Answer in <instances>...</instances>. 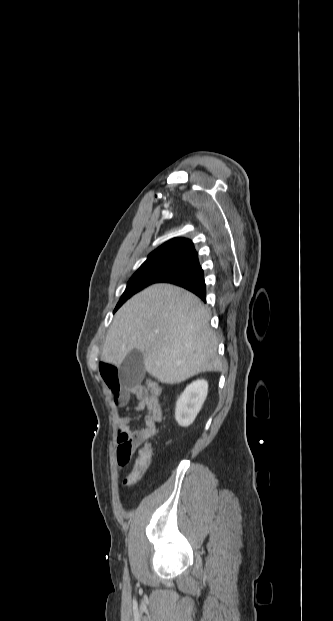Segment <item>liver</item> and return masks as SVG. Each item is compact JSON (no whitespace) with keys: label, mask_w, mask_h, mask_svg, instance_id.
<instances>
[{"label":"liver","mask_w":333,"mask_h":621,"mask_svg":"<svg viewBox=\"0 0 333 621\" xmlns=\"http://www.w3.org/2000/svg\"><path fill=\"white\" fill-rule=\"evenodd\" d=\"M209 320V312L191 292L171 284L152 285L115 314L101 360L120 366L138 350L147 372L167 384L219 371L218 341Z\"/></svg>","instance_id":"6515ba94"}]
</instances>
